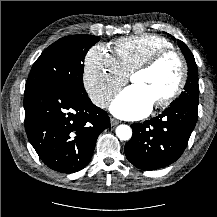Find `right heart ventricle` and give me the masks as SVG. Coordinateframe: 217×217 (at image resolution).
Here are the masks:
<instances>
[{
  "instance_id": "1",
  "label": "right heart ventricle",
  "mask_w": 217,
  "mask_h": 217,
  "mask_svg": "<svg viewBox=\"0 0 217 217\" xmlns=\"http://www.w3.org/2000/svg\"><path fill=\"white\" fill-rule=\"evenodd\" d=\"M169 49L171 42L154 34L123 37L114 42L115 59L127 75L155 54Z\"/></svg>"
}]
</instances>
